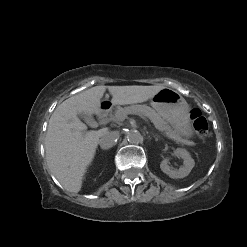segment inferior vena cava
I'll use <instances>...</instances> for the list:
<instances>
[{
  "label": "inferior vena cava",
  "mask_w": 247,
  "mask_h": 247,
  "mask_svg": "<svg viewBox=\"0 0 247 247\" xmlns=\"http://www.w3.org/2000/svg\"><path fill=\"white\" fill-rule=\"evenodd\" d=\"M118 139L119 133L117 131L105 132L99 140L100 147L102 149H109L116 144Z\"/></svg>",
  "instance_id": "1"
}]
</instances>
